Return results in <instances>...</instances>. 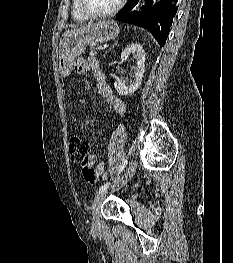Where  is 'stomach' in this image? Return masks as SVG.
<instances>
[{
    "mask_svg": "<svg viewBox=\"0 0 233 263\" xmlns=\"http://www.w3.org/2000/svg\"><path fill=\"white\" fill-rule=\"evenodd\" d=\"M119 26L113 20H101L80 28L66 31L59 43V73L68 76L74 59L84 53L86 47L115 39Z\"/></svg>",
    "mask_w": 233,
    "mask_h": 263,
    "instance_id": "obj_1",
    "label": "stomach"
}]
</instances>
